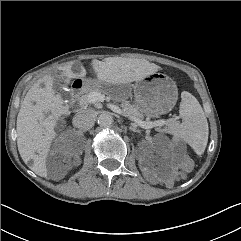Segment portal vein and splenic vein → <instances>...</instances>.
<instances>
[{
  "label": "portal vein and splenic vein",
  "mask_w": 241,
  "mask_h": 241,
  "mask_svg": "<svg viewBox=\"0 0 241 241\" xmlns=\"http://www.w3.org/2000/svg\"><path fill=\"white\" fill-rule=\"evenodd\" d=\"M89 100L92 103L102 102V101H104V95H102L101 93L93 92L89 95ZM109 107L114 112H116L118 114H121V115H124V116H127V115H125V113H123V111L118 106L111 104V105H109ZM129 118H130V120L134 121L138 126H140L141 128H144V129H150V128H153V127H156V126H163V125H166L168 123L167 120H163V119L157 120L155 122H145V121L139 120L135 117H129Z\"/></svg>",
  "instance_id": "1"
}]
</instances>
